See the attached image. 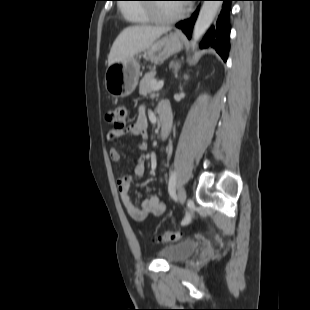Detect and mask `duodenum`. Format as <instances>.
Masks as SVG:
<instances>
[{
  "label": "duodenum",
  "mask_w": 310,
  "mask_h": 310,
  "mask_svg": "<svg viewBox=\"0 0 310 310\" xmlns=\"http://www.w3.org/2000/svg\"><path fill=\"white\" fill-rule=\"evenodd\" d=\"M159 118L161 122V137L166 138L171 132V112L160 110Z\"/></svg>",
  "instance_id": "410a0bca"
}]
</instances>
